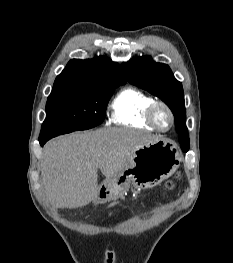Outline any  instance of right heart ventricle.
I'll return each instance as SVG.
<instances>
[{"mask_svg": "<svg viewBox=\"0 0 233 263\" xmlns=\"http://www.w3.org/2000/svg\"><path fill=\"white\" fill-rule=\"evenodd\" d=\"M154 99L147 93L126 87L112 100L111 120L116 125L154 131L155 128L146 119L147 107Z\"/></svg>", "mask_w": 233, "mask_h": 263, "instance_id": "right-heart-ventricle-1", "label": "right heart ventricle"}]
</instances>
